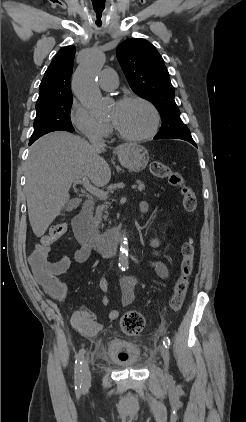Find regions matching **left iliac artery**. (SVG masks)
<instances>
[{
    "label": "left iliac artery",
    "instance_id": "44dca946",
    "mask_svg": "<svg viewBox=\"0 0 246 422\" xmlns=\"http://www.w3.org/2000/svg\"><path fill=\"white\" fill-rule=\"evenodd\" d=\"M163 344L165 345L166 348H169L170 347L171 342H170V339H169L168 336H165L163 338Z\"/></svg>",
    "mask_w": 246,
    "mask_h": 422
}]
</instances>
